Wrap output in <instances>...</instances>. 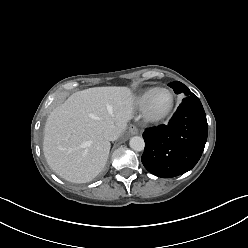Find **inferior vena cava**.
Here are the masks:
<instances>
[{"instance_id":"inferior-vena-cava-1","label":"inferior vena cava","mask_w":248,"mask_h":248,"mask_svg":"<svg viewBox=\"0 0 248 248\" xmlns=\"http://www.w3.org/2000/svg\"><path fill=\"white\" fill-rule=\"evenodd\" d=\"M119 135H120V132L114 125H110L106 127L103 131L104 138L109 141H114L118 139Z\"/></svg>"}]
</instances>
